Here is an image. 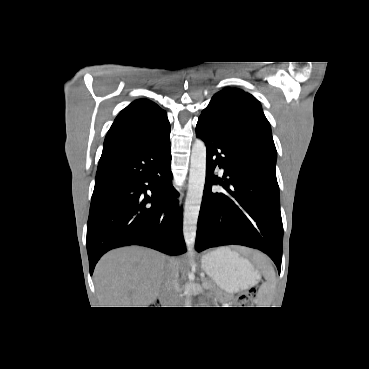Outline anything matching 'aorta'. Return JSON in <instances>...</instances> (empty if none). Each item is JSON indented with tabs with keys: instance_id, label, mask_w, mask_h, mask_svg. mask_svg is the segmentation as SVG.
I'll return each mask as SVG.
<instances>
[{
	"instance_id": "762f6f07",
	"label": "aorta",
	"mask_w": 369,
	"mask_h": 369,
	"mask_svg": "<svg viewBox=\"0 0 369 369\" xmlns=\"http://www.w3.org/2000/svg\"><path fill=\"white\" fill-rule=\"evenodd\" d=\"M205 176L206 146L201 139H196L191 151L189 183L183 215V236L190 256L193 255L195 249L197 221L202 202ZM189 291L190 287L186 286V307L190 305Z\"/></svg>"
}]
</instances>
